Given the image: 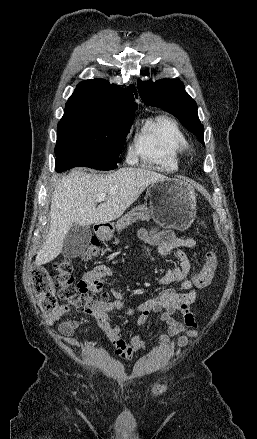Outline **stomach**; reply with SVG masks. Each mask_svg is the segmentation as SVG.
Returning <instances> with one entry per match:
<instances>
[{
  "label": "stomach",
  "mask_w": 257,
  "mask_h": 439,
  "mask_svg": "<svg viewBox=\"0 0 257 439\" xmlns=\"http://www.w3.org/2000/svg\"><path fill=\"white\" fill-rule=\"evenodd\" d=\"M150 213L161 225L187 229L196 216V194L193 186L177 178H164L148 189ZM98 235L105 240L113 236L112 229H102Z\"/></svg>",
  "instance_id": "0dacf381"
}]
</instances>
